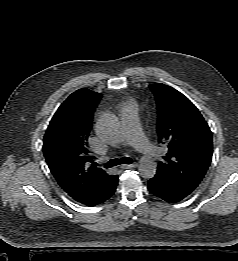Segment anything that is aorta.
<instances>
[{"instance_id": "aorta-1", "label": "aorta", "mask_w": 238, "mask_h": 261, "mask_svg": "<svg viewBox=\"0 0 238 261\" xmlns=\"http://www.w3.org/2000/svg\"><path fill=\"white\" fill-rule=\"evenodd\" d=\"M99 134L109 140L116 141L120 135V125L113 114L105 115L97 125ZM157 165L150 157L143 156L139 160L138 169L140 175L145 179H151L156 174Z\"/></svg>"}]
</instances>
